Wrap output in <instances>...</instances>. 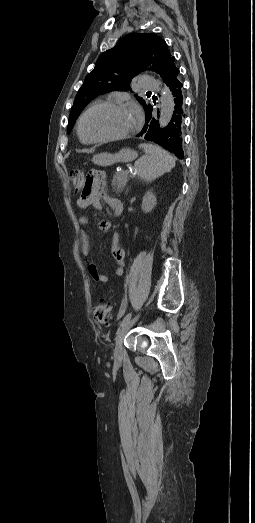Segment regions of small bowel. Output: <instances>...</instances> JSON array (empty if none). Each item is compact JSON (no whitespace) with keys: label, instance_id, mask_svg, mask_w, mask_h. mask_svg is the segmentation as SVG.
<instances>
[{"label":"small bowel","instance_id":"small-bowel-1","mask_svg":"<svg viewBox=\"0 0 255 523\" xmlns=\"http://www.w3.org/2000/svg\"><path fill=\"white\" fill-rule=\"evenodd\" d=\"M89 179L91 182H93L95 180L93 175H90ZM104 198L110 204V200L112 198H110V197H104ZM90 204H92L94 207H98L100 205V197L93 191V189L91 187L87 194L83 195L81 198L77 199V201H76V205L79 209H85ZM79 223L82 226V228L80 230V249H81L82 255L87 257L90 252L89 236H88V233L85 228L88 224V218L86 216H81L79 218ZM98 228L102 232H108L111 228V222L108 220H101L98 223ZM111 253L115 259L116 266H117L116 275L121 276L124 272L125 250L119 244L118 239L115 237L113 238V241H112ZM87 271L93 281H95L97 283H103V284H106L109 282V277L107 275L101 273L94 263L88 264Z\"/></svg>","mask_w":255,"mask_h":523}]
</instances>
